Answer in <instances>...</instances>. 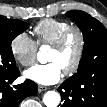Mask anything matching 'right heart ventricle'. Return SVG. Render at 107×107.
Segmentation results:
<instances>
[{
  "label": "right heart ventricle",
  "mask_w": 107,
  "mask_h": 107,
  "mask_svg": "<svg viewBox=\"0 0 107 107\" xmlns=\"http://www.w3.org/2000/svg\"><path fill=\"white\" fill-rule=\"evenodd\" d=\"M70 26H72L71 23L65 20L52 18L41 20L34 27L37 43L40 45H52L62 34V32Z\"/></svg>",
  "instance_id": "obj_1"
}]
</instances>
